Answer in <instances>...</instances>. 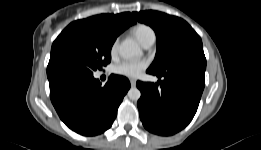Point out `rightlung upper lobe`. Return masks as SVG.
Listing matches in <instances>:
<instances>
[{"mask_svg":"<svg viewBox=\"0 0 261 150\" xmlns=\"http://www.w3.org/2000/svg\"><path fill=\"white\" fill-rule=\"evenodd\" d=\"M135 23L136 21L132 17L131 13L125 12L117 15L114 14L96 15L87 19L72 22L68 26L79 25V24L91 25V26L102 28L106 32L117 37L125 29H127L129 26Z\"/></svg>","mask_w":261,"mask_h":150,"instance_id":"right-lung-upper-lobe-1","label":"right lung upper lobe"}]
</instances>
